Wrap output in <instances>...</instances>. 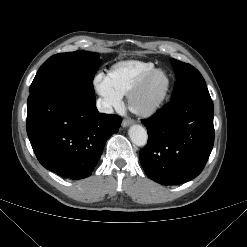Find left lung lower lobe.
<instances>
[{"label": "left lung lower lobe", "instance_id": "left-lung-lower-lobe-1", "mask_svg": "<svg viewBox=\"0 0 247 247\" xmlns=\"http://www.w3.org/2000/svg\"><path fill=\"white\" fill-rule=\"evenodd\" d=\"M214 107L209 93L173 100L142 123L148 143L139 158L162 185L185 183L203 170L214 144Z\"/></svg>", "mask_w": 247, "mask_h": 247}]
</instances>
